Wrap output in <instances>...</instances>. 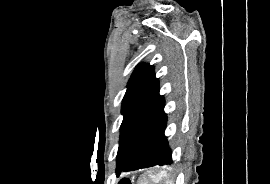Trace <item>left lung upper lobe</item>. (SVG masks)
<instances>
[{"label": "left lung upper lobe", "instance_id": "5c2ea615", "mask_svg": "<svg viewBox=\"0 0 270 184\" xmlns=\"http://www.w3.org/2000/svg\"><path fill=\"white\" fill-rule=\"evenodd\" d=\"M163 103L164 97L159 94V82L153 66L139 64L128 81L122 102L124 118L121 124L116 170Z\"/></svg>", "mask_w": 270, "mask_h": 184}]
</instances>
